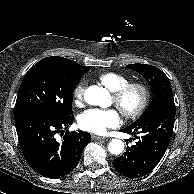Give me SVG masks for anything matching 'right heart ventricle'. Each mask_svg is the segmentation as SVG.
<instances>
[{"label": "right heart ventricle", "mask_w": 194, "mask_h": 194, "mask_svg": "<svg viewBox=\"0 0 194 194\" xmlns=\"http://www.w3.org/2000/svg\"><path fill=\"white\" fill-rule=\"evenodd\" d=\"M99 82L109 91L114 92L130 82L129 77L117 72H104L98 75Z\"/></svg>", "instance_id": "e07e8e85"}]
</instances>
